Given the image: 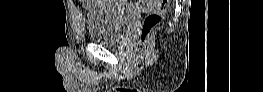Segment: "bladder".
Listing matches in <instances>:
<instances>
[{
  "label": "bladder",
  "mask_w": 263,
  "mask_h": 92,
  "mask_svg": "<svg viewBox=\"0 0 263 92\" xmlns=\"http://www.w3.org/2000/svg\"><path fill=\"white\" fill-rule=\"evenodd\" d=\"M95 7L87 13L89 38L106 45H118L130 29L138 12L119 7L118 1H94Z\"/></svg>",
  "instance_id": "obj_1"
}]
</instances>
